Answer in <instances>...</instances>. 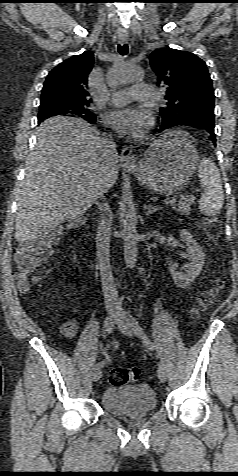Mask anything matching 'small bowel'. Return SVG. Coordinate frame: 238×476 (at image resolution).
Wrapping results in <instances>:
<instances>
[{
	"instance_id": "obj_1",
	"label": "small bowel",
	"mask_w": 238,
	"mask_h": 476,
	"mask_svg": "<svg viewBox=\"0 0 238 476\" xmlns=\"http://www.w3.org/2000/svg\"><path fill=\"white\" fill-rule=\"evenodd\" d=\"M78 325L74 320H70L67 323L64 324L63 326V332L65 335L68 337H74L77 333ZM116 346V343H112L109 346L103 347L101 349V354L106 357V359H109V353L110 350H112Z\"/></svg>"
}]
</instances>
